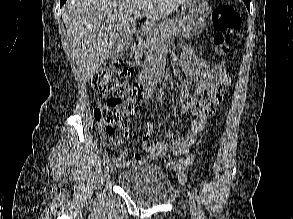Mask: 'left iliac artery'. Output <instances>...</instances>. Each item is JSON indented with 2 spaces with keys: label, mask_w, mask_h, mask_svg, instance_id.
I'll return each instance as SVG.
<instances>
[{
  "label": "left iliac artery",
  "mask_w": 293,
  "mask_h": 219,
  "mask_svg": "<svg viewBox=\"0 0 293 219\" xmlns=\"http://www.w3.org/2000/svg\"><path fill=\"white\" fill-rule=\"evenodd\" d=\"M193 198H194V200L197 202V204H198V211H199V219H205V217H204V213H203V210H202V207H201V203H200V198H199V196H198V194H197V192L196 191H193V193H192V195H191Z\"/></svg>",
  "instance_id": "1"
}]
</instances>
